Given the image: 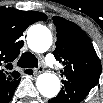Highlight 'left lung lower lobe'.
<instances>
[{
    "mask_svg": "<svg viewBox=\"0 0 103 103\" xmlns=\"http://www.w3.org/2000/svg\"><path fill=\"white\" fill-rule=\"evenodd\" d=\"M91 88L65 82L64 87L60 91L59 95L51 100L49 103H80L90 92Z\"/></svg>",
    "mask_w": 103,
    "mask_h": 103,
    "instance_id": "left-lung-lower-lobe-1",
    "label": "left lung lower lobe"
}]
</instances>
